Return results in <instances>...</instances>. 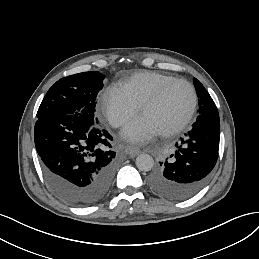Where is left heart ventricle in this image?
Segmentation results:
<instances>
[{"instance_id":"obj_1","label":"left heart ventricle","mask_w":259,"mask_h":259,"mask_svg":"<svg viewBox=\"0 0 259 259\" xmlns=\"http://www.w3.org/2000/svg\"><path fill=\"white\" fill-rule=\"evenodd\" d=\"M190 89L182 82L172 84L155 106L140 114L139 118L156 133L172 128L191 105Z\"/></svg>"}]
</instances>
